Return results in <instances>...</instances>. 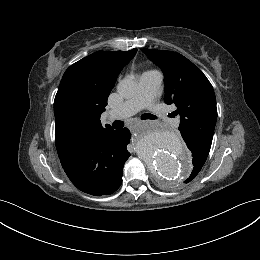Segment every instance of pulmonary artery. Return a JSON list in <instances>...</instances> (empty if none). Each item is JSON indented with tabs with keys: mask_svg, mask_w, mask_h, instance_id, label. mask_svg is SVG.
<instances>
[{
	"mask_svg": "<svg viewBox=\"0 0 260 260\" xmlns=\"http://www.w3.org/2000/svg\"><path fill=\"white\" fill-rule=\"evenodd\" d=\"M162 84V75L158 71H147L140 77V90L138 94L125 101L119 108L109 113L110 119H125L142 108H148L151 112H157L158 108L154 104V99L158 95ZM180 119L175 120L178 125Z\"/></svg>",
	"mask_w": 260,
	"mask_h": 260,
	"instance_id": "obj_1",
	"label": "pulmonary artery"
}]
</instances>
